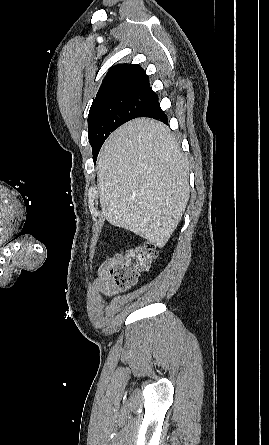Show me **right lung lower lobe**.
<instances>
[{
  "label": "right lung lower lobe",
  "mask_w": 269,
  "mask_h": 445,
  "mask_svg": "<svg viewBox=\"0 0 269 445\" xmlns=\"http://www.w3.org/2000/svg\"><path fill=\"white\" fill-rule=\"evenodd\" d=\"M139 117H149L167 123V116L161 110L158 99L152 103Z\"/></svg>",
  "instance_id": "1"
}]
</instances>
